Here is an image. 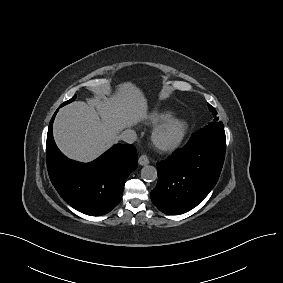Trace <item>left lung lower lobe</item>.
I'll return each instance as SVG.
<instances>
[{"mask_svg": "<svg viewBox=\"0 0 283 283\" xmlns=\"http://www.w3.org/2000/svg\"><path fill=\"white\" fill-rule=\"evenodd\" d=\"M225 149V135L195 132L182 149L157 163L158 182L151 191L153 204L168 215L196 207L217 183Z\"/></svg>", "mask_w": 283, "mask_h": 283, "instance_id": "0a47b994", "label": "left lung lower lobe"}]
</instances>
